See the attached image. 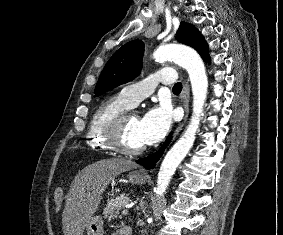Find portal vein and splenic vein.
Returning <instances> with one entry per match:
<instances>
[{
    "mask_svg": "<svg viewBox=\"0 0 283 235\" xmlns=\"http://www.w3.org/2000/svg\"><path fill=\"white\" fill-rule=\"evenodd\" d=\"M129 205H126L125 208L122 210V215L128 214Z\"/></svg>",
    "mask_w": 283,
    "mask_h": 235,
    "instance_id": "obj_1",
    "label": "portal vein and splenic vein"
}]
</instances>
